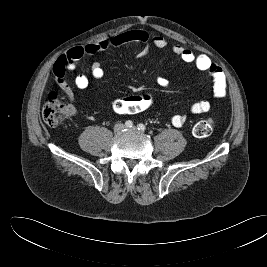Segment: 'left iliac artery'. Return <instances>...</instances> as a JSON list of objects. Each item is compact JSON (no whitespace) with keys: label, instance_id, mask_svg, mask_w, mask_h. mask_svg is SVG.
I'll list each match as a JSON object with an SVG mask.
<instances>
[{"label":"left iliac artery","instance_id":"left-iliac-artery-1","mask_svg":"<svg viewBox=\"0 0 267 267\" xmlns=\"http://www.w3.org/2000/svg\"><path fill=\"white\" fill-rule=\"evenodd\" d=\"M137 129L141 130V131H144L146 129V126L144 124H138L137 125Z\"/></svg>","mask_w":267,"mask_h":267}]
</instances>
